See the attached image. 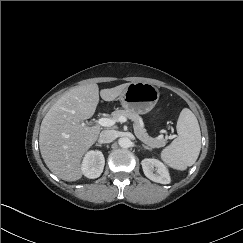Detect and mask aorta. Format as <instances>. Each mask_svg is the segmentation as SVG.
Masks as SVG:
<instances>
[{"mask_svg": "<svg viewBox=\"0 0 243 243\" xmlns=\"http://www.w3.org/2000/svg\"><path fill=\"white\" fill-rule=\"evenodd\" d=\"M118 143H119V146L121 148H124V149L129 148L131 146V144H132L131 140L129 138H127V137L120 138Z\"/></svg>", "mask_w": 243, "mask_h": 243, "instance_id": "aorta-1", "label": "aorta"}]
</instances>
